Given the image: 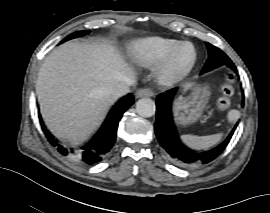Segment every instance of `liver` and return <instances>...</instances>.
<instances>
[{
  "label": "liver",
  "instance_id": "1",
  "mask_svg": "<svg viewBox=\"0 0 270 213\" xmlns=\"http://www.w3.org/2000/svg\"><path fill=\"white\" fill-rule=\"evenodd\" d=\"M134 78L111 43L67 42L54 49L37 78L41 114L51 132L73 145L100 125L116 98L112 88Z\"/></svg>",
  "mask_w": 270,
  "mask_h": 213
}]
</instances>
